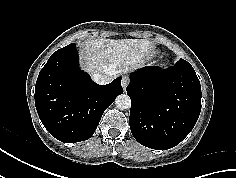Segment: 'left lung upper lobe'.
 I'll return each instance as SVG.
<instances>
[{"label": "left lung upper lobe", "instance_id": "obj_1", "mask_svg": "<svg viewBox=\"0 0 236 178\" xmlns=\"http://www.w3.org/2000/svg\"><path fill=\"white\" fill-rule=\"evenodd\" d=\"M175 65L185 66V65H190V64L187 61L180 59Z\"/></svg>", "mask_w": 236, "mask_h": 178}]
</instances>
